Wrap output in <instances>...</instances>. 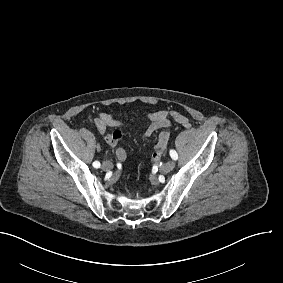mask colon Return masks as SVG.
<instances>
[{"mask_svg":"<svg viewBox=\"0 0 283 283\" xmlns=\"http://www.w3.org/2000/svg\"><path fill=\"white\" fill-rule=\"evenodd\" d=\"M169 136L165 131H160L158 140L153 148L151 159L154 163H157L161 160L163 153L165 151V142L168 141Z\"/></svg>","mask_w":283,"mask_h":283,"instance_id":"5ec220e1","label":"colon"}]
</instances>
